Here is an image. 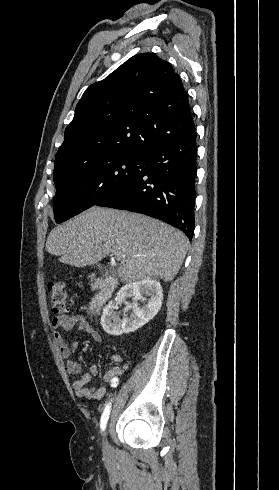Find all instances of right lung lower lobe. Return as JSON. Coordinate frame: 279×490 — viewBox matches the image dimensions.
I'll list each match as a JSON object with an SVG mask.
<instances>
[{"label":"right lung lower lobe","instance_id":"obj_1","mask_svg":"<svg viewBox=\"0 0 279 490\" xmlns=\"http://www.w3.org/2000/svg\"><path fill=\"white\" fill-rule=\"evenodd\" d=\"M196 132L144 159L143 173L96 205L139 212L180 229L190 240L195 227Z\"/></svg>","mask_w":279,"mask_h":490}]
</instances>
